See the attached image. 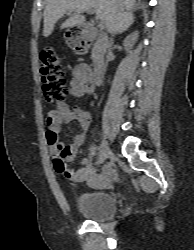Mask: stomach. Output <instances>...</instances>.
<instances>
[{
	"label": "stomach",
	"instance_id": "0dacf381",
	"mask_svg": "<svg viewBox=\"0 0 194 250\" xmlns=\"http://www.w3.org/2000/svg\"><path fill=\"white\" fill-rule=\"evenodd\" d=\"M81 34L83 35V37H87V33L85 31H82ZM68 40H71V38H68Z\"/></svg>",
	"mask_w": 194,
	"mask_h": 250
}]
</instances>
